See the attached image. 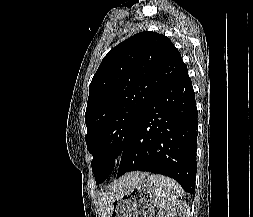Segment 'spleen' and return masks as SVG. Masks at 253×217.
I'll list each match as a JSON object with an SVG mask.
<instances>
[{"label": "spleen", "mask_w": 253, "mask_h": 217, "mask_svg": "<svg viewBox=\"0 0 253 217\" xmlns=\"http://www.w3.org/2000/svg\"><path fill=\"white\" fill-rule=\"evenodd\" d=\"M148 181L155 186L156 204L160 207V210L175 202L181 194L179 184L166 176L151 174L148 176Z\"/></svg>", "instance_id": "3e777b00"}]
</instances>
